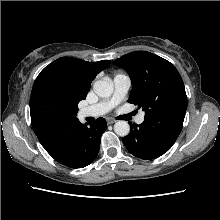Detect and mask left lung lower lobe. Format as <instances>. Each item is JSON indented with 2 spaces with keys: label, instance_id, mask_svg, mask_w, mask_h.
I'll return each instance as SVG.
<instances>
[{
  "label": "left lung lower lobe",
  "instance_id": "left-lung-lower-lobe-1",
  "mask_svg": "<svg viewBox=\"0 0 220 220\" xmlns=\"http://www.w3.org/2000/svg\"><path fill=\"white\" fill-rule=\"evenodd\" d=\"M185 112H167L145 116L140 125L131 124L122 138L127 150L141 159H154L167 152L178 138Z\"/></svg>",
  "mask_w": 220,
  "mask_h": 220
}]
</instances>
